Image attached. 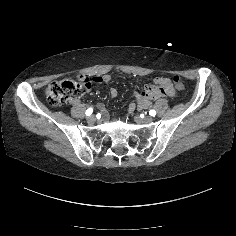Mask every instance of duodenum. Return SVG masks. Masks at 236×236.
Returning <instances> with one entry per match:
<instances>
[{"label": "duodenum", "mask_w": 236, "mask_h": 236, "mask_svg": "<svg viewBox=\"0 0 236 236\" xmlns=\"http://www.w3.org/2000/svg\"><path fill=\"white\" fill-rule=\"evenodd\" d=\"M161 87L164 88L165 90L164 91L155 90L153 92H148L147 97L144 96V97H141L140 99L143 100L145 98L147 99L150 96H163L165 94H171L172 93V90H171V88H170L168 83H161Z\"/></svg>", "instance_id": "obj_1"}]
</instances>
